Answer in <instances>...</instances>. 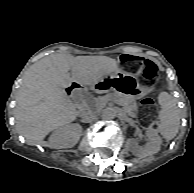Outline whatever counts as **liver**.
Returning <instances> with one entry per match:
<instances>
[{
	"label": "liver",
	"mask_w": 194,
	"mask_h": 193,
	"mask_svg": "<svg viewBox=\"0 0 194 193\" xmlns=\"http://www.w3.org/2000/svg\"><path fill=\"white\" fill-rule=\"evenodd\" d=\"M116 71L118 62L107 56L55 53L37 61L25 73L17 93L15 119L19 133L29 145L47 146L46 135L77 116L65 88L72 82L90 87Z\"/></svg>",
	"instance_id": "liver-1"
}]
</instances>
